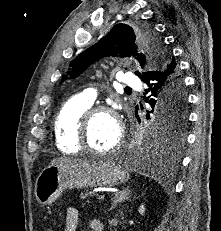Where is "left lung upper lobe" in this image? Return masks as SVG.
<instances>
[{"instance_id":"1","label":"left lung upper lobe","mask_w":221,"mask_h":231,"mask_svg":"<svg viewBox=\"0 0 221 231\" xmlns=\"http://www.w3.org/2000/svg\"><path fill=\"white\" fill-rule=\"evenodd\" d=\"M133 56L142 67L153 68L163 66L167 60L162 40L149 26L133 29L126 24L115 25L110 33L95 45L81 53L71 64L72 76L80 74L86 67L104 56ZM139 77L141 75L137 73ZM178 90V89H177ZM176 91V90H175ZM181 93V94H180ZM177 102L168 112L156 109V104L148 111L151 120L149 134L158 136L168 142H182V127L186 122V96L183 88L179 90ZM151 113V118L149 116Z\"/></svg>"}]
</instances>
